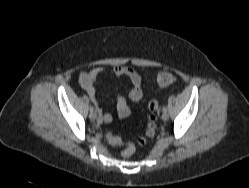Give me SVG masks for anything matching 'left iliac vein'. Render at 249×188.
<instances>
[{"mask_svg":"<svg viewBox=\"0 0 249 188\" xmlns=\"http://www.w3.org/2000/svg\"><path fill=\"white\" fill-rule=\"evenodd\" d=\"M168 118H169L168 113H167V112H163V113H162V120H163V121H167Z\"/></svg>","mask_w":249,"mask_h":188,"instance_id":"4c4485c4","label":"left iliac vein"}]
</instances>
